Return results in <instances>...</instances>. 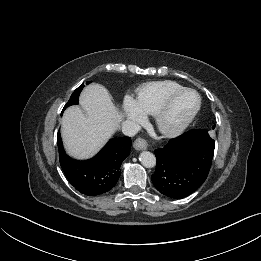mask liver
<instances>
[{"mask_svg":"<svg viewBox=\"0 0 261 261\" xmlns=\"http://www.w3.org/2000/svg\"><path fill=\"white\" fill-rule=\"evenodd\" d=\"M82 109L71 106L64 112L61 135L67 153L77 159L94 156L118 129L122 115L105 87L86 86L79 98Z\"/></svg>","mask_w":261,"mask_h":261,"instance_id":"6515ba94","label":"liver"}]
</instances>
